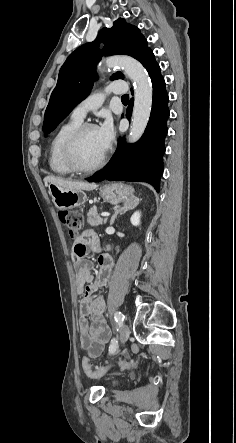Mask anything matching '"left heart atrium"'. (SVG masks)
<instances>
[{
    "label": "left heart atrium",
    "mask_w": 236,
    "mask_h": 443,
    "mask_svg": "<svg viewBox=\"0 0 236 443\" xmlns=\"http://www.w3.org/2000/svg\"><path fill=\"white\" fill-rule=\"evenodd\" d=\"M97 129L99 131L104 147L108 149L115 136V130L112 119L110 117H106V119Z\"/></svg>",
    "instance_id": "left-heart-atrium-1"
}]
</instances>
